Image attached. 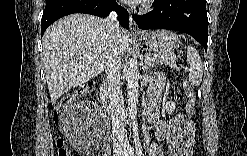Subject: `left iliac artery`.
I'll use <instances>...</instances> for the list:
<instances>
[{
  "label": "left iliac artery",
  "mask_w": 247,
  "mask_h": 156,
  "mask_svg": "<svg viewBox=\"0 0 247 156\" xmlns=\"http://www.w3.org/2000/svg\"><path fill=\"white\" fill-rule=\"evenodd\" d=\"M135 146H136V152L138 156H143V151L141 147V143L139 142V139H135Z\"/></svg>",
  "instance_id": "1"
}]
</instances>
